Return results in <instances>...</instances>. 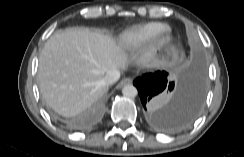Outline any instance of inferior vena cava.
I'll use <instances>...</instances> for the list:
<instances>
[{
	"label": "inferior vena cava",
	"mask_w": 244,
	"mask_h": 157,
	"mask_svg": "<svg viewBox=\"0 0 244 157\" xmlns=\"http://www.w3.org/2000/svg\"><path fill=\"white\" fill-rule=\"evenodd\" d=\"M120 78V72L118 70L110 71L103 79L102 83L105 86L114 84Z\"/></svg>",
	"instance_id": "obj_1"
}]
</instances>
